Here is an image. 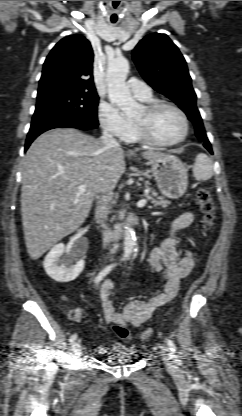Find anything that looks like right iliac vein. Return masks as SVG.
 <instances>
[{
	"label": "right iliac vein",
	"mask_w": 242,
	"mask_h": 416,
	"mask_svg": "<svg viewBox=\"0 0 242 416\" xmlns=\"http://www.w3.org/2000/svg\"><path fill=\"white\" fill-rule=\"evenodd\" d=\"M73 354L77 355L80 352V344L78 342H75L72 345Z\"/></svg>",
	"instance_id": "right-iliac-vein-1"
}]
</instances>
